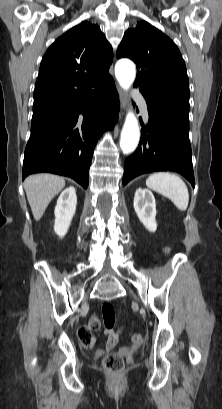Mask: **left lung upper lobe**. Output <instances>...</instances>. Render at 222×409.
Returning <instances> with one entry per match:
<instances>
[{"label": "left lung upper lobe", "instance_id": "5c2ea615", "mask_svg": "<svg viewBox=\"0 0 222 409\" xmlns=\"http://www.w3.org/2000/svg\"><path fill=\"white\" fill-rule=\"evenodd\" d=\"M128 57L137 65L134 87L146 101L165 103L181 99L189 107L186 66L175 43L146 21L128 29L117 58Z\"/></svg>", "mask_w": 222, "mask_h": 409}]
</instances>
